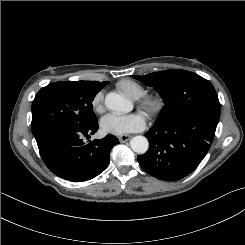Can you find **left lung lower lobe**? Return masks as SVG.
Wrapping results in <instances>:
<instances>
[{"mask_svg": "<svg viewBox=\"0 0 245 245\" xmlns=\"http://www.w3.org/2000/svg\"><path fill=\"white\" fill-rule=\"evenodd\" d=\"M219 117L193 113L180 120L153 126L145 136L148 151L137 157L144 171L165 181H177L194 171L207 154Z\"/></svg>", "mask_w": 245, "mask_h": 245, "instance_id": "left-lung-lower-lobe-1", "label": "left lung lower lobe"}]
</instances>
